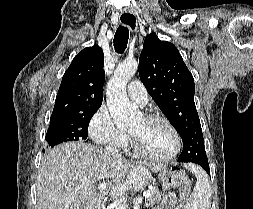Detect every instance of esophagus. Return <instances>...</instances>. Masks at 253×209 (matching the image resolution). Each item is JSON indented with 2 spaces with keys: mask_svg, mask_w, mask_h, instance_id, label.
Here are the masks:
<instances>
[{
  "mask_svg": "<svg viewBox=\"0 0 253 209\" xmlns=\"http://www.w3.org/2000/svg\"><path fill=\"white\" fill-rule=\"evenodd\" d=\"M119 20L122 25L128 26L131 30H135L137 27V18L135 13L132 11L122 12Z\"/></svg>",
  "mask_w": 253,
  "mask_h": 209,
  "instance_id": "obj_1",
  "label": "esophagus"
}]
</instances>
